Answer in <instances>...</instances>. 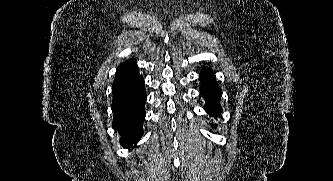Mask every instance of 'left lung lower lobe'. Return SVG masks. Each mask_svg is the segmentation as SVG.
<instances>
[{"label":"left lung lower lobe","mask_w":333,"mask_h":181,"mask_svg":"<svg viewBox=\"0 0 333 181\" xmlns=\"http://www.w3.org/2000/svg\"><path fill=\"white\" fill-rule=\"evenodd\" d=\"M201 87L200 91L202 96L206 100L205 109L210 115H219L221 113L220 88L215 83L213 72L209 69L204 68L200 74Z\"/></svg>","instance_id":"obj_1"}]
</instances>
